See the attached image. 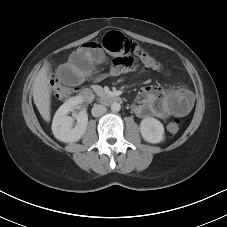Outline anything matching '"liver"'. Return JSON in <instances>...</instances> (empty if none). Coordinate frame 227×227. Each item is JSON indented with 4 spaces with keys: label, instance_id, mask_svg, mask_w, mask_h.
<instances>
[{
    "label": "liver",
    "instance_id": "obj_1",
    "mask_svg": "<svg viewBox=\"0 0 227 227\" xmlns=\"http://www.w3.org/2000/svg\"><path fill=\"white\" fill-rule=\"evenodd\" d=\"M33 100L42 116L46 121H50L51 94L49 87L48 66L44 65L37 73L32 85Z\"/></svg>",
    "mask_w": 227,
    "mask_h": 227
}]
</instances>
